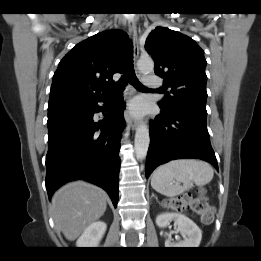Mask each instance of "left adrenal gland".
Instances as JSON below:
<instances>
[{
  "label": "left adrenal gland",
  "mask_w": 261,
  "mask_h": 261,
  "mask_svg": "<svg viewBox=\"0 0 261 261\" xmlns=\"http://www.w3.org/2000/svg\"><path fill=\"white\" fill-rule=\"evenodd\" d=\"M151 197H154L156 199V201L160 204L158 197L154 193H152Z\"/></svg>",
  "instance_id": "a2214340"
}]
</instances>
